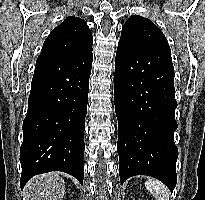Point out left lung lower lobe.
Here are the masks:
<instances>
[{
	"mask_svg": "<svg viewBox=\"0 0 205 200\" xmlns=\"http://www.w3.org/2000/svg\"><path fill=\"white\" fill-rule=\"evenodd\" d=\"M114 102L121 183L134 175H148L172 191L178 149L173 140L177 102L169 45L118 44Z\"/></svg>",
	"mask_w": 205,
	"mask_h": 200,
	"instance_id": "left-lung-lower-lobe-1",
	"label": "left lung lower lobe"
}]
</instances>
